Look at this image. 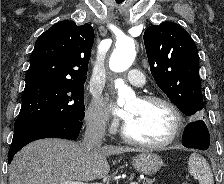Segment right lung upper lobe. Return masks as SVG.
<instances>
[{
	"instance_id": "1",
	"label": "right lung upper lobe",
	"mask_w": 224,
	"mask_h": 184,
	"mask_svg": "<svg viewBox=\"0 0 224 184\" xmlns=\"http://www.w3.org/2000/svg\"><path fill=\"white\" fill-rule=\"evenodd\" d=\"M94 30L90 24L60 21L35 42L26 74V84L36 81H86Z\"/></svg>"
}]
</instances>
